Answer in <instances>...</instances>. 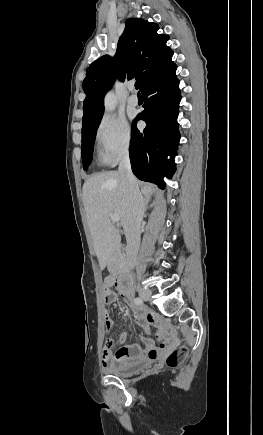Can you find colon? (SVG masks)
<instances>
[{"label": "colon", "mask_w": 263, "mask_h": 435, "mask_svg": "<svg viewBox=\"0 0 263 435\" xmlns=\"http://www.w3.org/2000/svg\"><path fill=\"white\" fill-rule=\"evenodd\" d=\"M111 295L105 291L104 292V299L108 300L111 299ZM104 350H113L114 348V340L111 337H108L104 343H103ZM187 349L186 348H180L178 350L172 351L168 354L166 357V365L169 367H176L178 366L185 358Z\"/></svg>", "instance_id": "1"}]
</instances>
